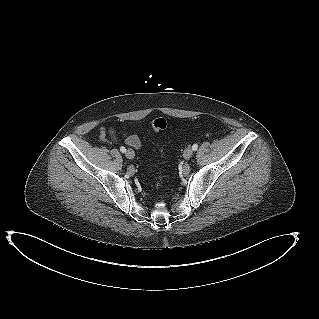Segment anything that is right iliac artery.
I'll return each mask as SVG.
<instances>
[{
    "label": "right iliac artery",
    "instance_id": "right-iliac-artery-1",
    "mask_svg": "<svg viewBox=\"0 0 319 319\" xmlns=\"http://www.w3.org/2000/svg\"><path fill=\"white\" fill-rule=\"evenodd\" d=\"M120 151L122 152V153H125L126 152V148L125 147H120Z\"/></svg>",
    "mask_w": 319,
    "mask_h": 319
}]
</instances>
